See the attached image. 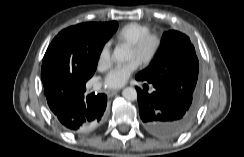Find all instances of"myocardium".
<instances>
[{
  "label": "myocardium",
  "instance_id": "obj_1",
  "mask_svg": "<svg viewBox=\"0 0 244 157\" xmlns=\"http://www.w3.org/2000/svg\"><path fill=\"white\" fill-rule=\"evenodd\" d=\"M163 43L162 36L158 33L149 32L130 45L136 53H142L139 63L148 65L157 57Z\"/></svg>",
  "mask_w": 244,
  "mask_h": 157
}]
</instances>
